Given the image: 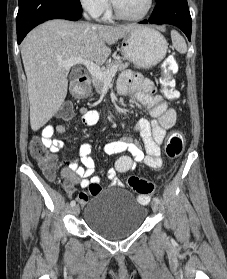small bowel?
<instances>
[{
    "mask_svg": "<svg viewBox=\"0 0 227 279\" xmlns=\"http://www.w3.org/2000/svg\"><path fill=\"white\" fill-rule=\"evenodd\" d=\"M118 91L124 98L133 93L136 100L148 109L151 119H140L133 128L134 131L139 133L146 154L142 152L132 138H124L105 145L104 151L109 155L123 151L128 153V155L119 157L114 166L108 171L107 178L114 184H119L118 173L133 170L136 163H144L152 169L161 167L160 145L165 139L166 132L174 126L177 118L176 111L168 109L166 100L156 93L153 83L147 79L140 78L135 73H124L120 76ZM79 114L85 126H94L99 121V114L96 110L82 108L79 110ZM65 133L66 127L62 122L50 121L42 130L43 145L52 154H57L63 147L64 142L61 139L53 138V135ZM78 155L79 159L69 158L62 161V175L67 179L68 193H73L70 188L72 183H78L82 188L97 184L99 186L98 191L101 190L100 179L94 176L96 163L92 156L91 145L88 143L83 144L79 149ZM78 201L84 206L88 203V198L78 196Z\"/></svg>",
    "mask_w": 227,
    "mask_h": 279,
    "instance_id": "1",
    "label": "small bowel"
}]
</instances>
